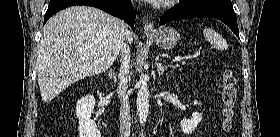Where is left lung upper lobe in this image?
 <instances>
[{
  "label": "left lung upper lobe",
  "mask_w": 280,
  "mask_h": 137,
  "mask_svg": "<svg viewBox=\"0 0 280 137\" xmlns=\"http://www.w3.org/2000/svg\"><path fill=\"white\" fill-rule=\"evenodd\" d=\"M189 2H199V1H205V0H188ZM231 1V0H228Z\"/></svg>",
  "instance_id": "obj_1"
}]
</instances>
